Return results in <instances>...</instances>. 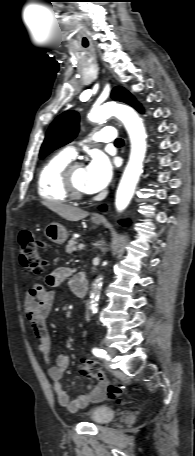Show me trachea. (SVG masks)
Instances as JSON below:
<instances>
[{
	"label": "trachea",
	"instance_id": "obj_1",
	"mask_svg": "<svg viewBox=\"0 0 195 456\" xmlns=\"http://www.w3.org/2000/svg\"><path fill=\"white\" fill-rule=\"evenodd\" d=\"M123 140L121 138H118L116 141H115V144L116 145H123Z\"/></svg>",
	"mask_w": 195,
	"mask_h": 456
}]
</instances>
